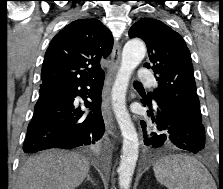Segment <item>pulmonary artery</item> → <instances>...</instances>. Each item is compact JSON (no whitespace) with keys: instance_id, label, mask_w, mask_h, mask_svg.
<instances>
[{"instance_id":"e3ab8cb5","label":"pulmonary artery","mask_w":223,"mask_h":189,"mask_svg":"<svg viewBox=\"0 0 223 189\" xmlns=\"http://www.w3.org/2000/svg\"><path fill=\"white\" fill-rule=\"evenodd\" d=\"M138 79L143 82H149L153 84V75L149 70L142 69L138 72Z\"/></svg>"}]
</instances>
